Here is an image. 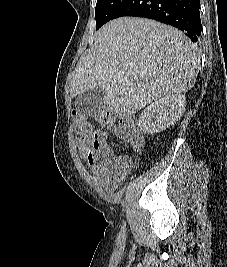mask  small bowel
I'll return each instance as SVG.
<instances>
[{
    "label": "small bowel",
    "mask_w": 227,
    "mask_h": 267,
    "mask_svg": "<svg viewBox=\"0 0 227 267\" xmlns=\"http://www.w3.org/2000/svg\"><path fill=\"white\" fill-rule=\"evenodd\" d=\"M115 133L119 134L118 129L115 130ZM106 138V133L95 131L89 136L80 134L77 140V147L80 155L85 159L87 165L93 170L98 179H102L105 161L109 156ZM96 140L98 142H96ZM130 169L131 162L122 160L118 164V167H116V173L119 176H125Z\"/></svg>",
    "instance_id": "small-bowel-1"
}]
</instances>
